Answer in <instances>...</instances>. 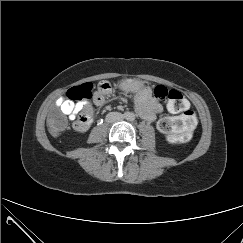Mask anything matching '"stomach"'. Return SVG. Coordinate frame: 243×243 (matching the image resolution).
Returning <instances> with one entry per match:
<instances>
[{
  "mask_svg": "<svg viewBox=\"0 0 243 243\" xmlns=\"http://www.w3.org/2000/svg\"><path fill=\"white\" fill-rule=\"evenodd\" d=\"M121 87L127 91H136L141 87V84L134 79H125L122 81Z\"/></svg>",
  "mask_w": 243,
  "mask_h": 243,
  "instance_id": "0dacf381",
  "label": "stomach"
}]
</instances>
